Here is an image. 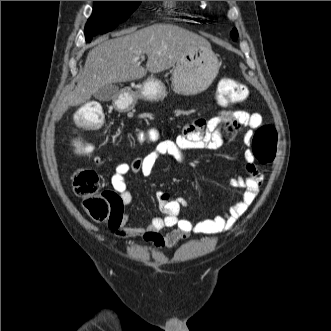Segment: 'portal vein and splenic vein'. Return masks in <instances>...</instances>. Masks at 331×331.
Returning a JSON list of instances; mask_svg holds the SVG:
<instances>
[{
	"mask_svg": "<svg viewBox=\"0 0 331 331\" xmlns=\"http://www.w3.org/2000/svg\"><path fill=\"white\" fill-rule=\"evenodd\" d=\"M141 58L143 59V58H144V56L142 55V56H141Z\"/></svg>",
	"mask_w": 331,
	"mask_h": 331,
	"instance_id": "portal-vein-and-splenic-vein-1",
	"label": "portal vein and splenic vein"
}]
</instances>
